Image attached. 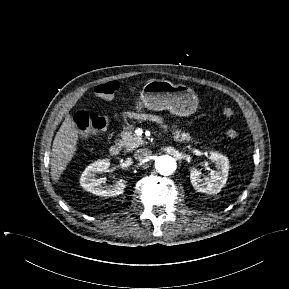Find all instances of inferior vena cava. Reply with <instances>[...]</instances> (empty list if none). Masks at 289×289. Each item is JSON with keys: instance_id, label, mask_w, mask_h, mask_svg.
Here are the masks:
<instances>
[{"instance_id": "1", "label": "inferior vena cava", "mask_w": 289, "mask_h": 289, "mask_svg": "<svg viewBox=\"0 0 289 289\" xmlns=\"http://www.w3.org/2000/svg\"><path fill=\"white\" fill-rule=\"evenodd\" d=\"M149 156H150V151L146 148L138 149L134 154V158L140 162L147 160Z\"/></svg>"}]
</instances>
